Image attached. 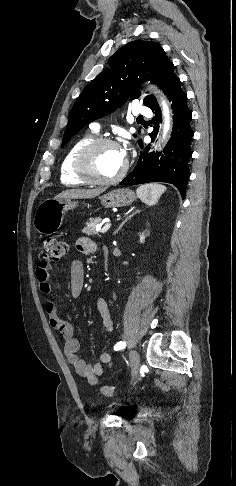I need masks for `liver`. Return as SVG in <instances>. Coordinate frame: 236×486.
I'll use <instances>...</instances> for the list:
<instances>
[{
  "instance_id": "1",
  "label": "liver",
  "mask_w": 236,
  "mask_h": 486,
  "mask_svg": "<svg viewBox=\"0 0 236 486\" xmlns=\"http://www.w3.org/2000/svg\"><path fill=\"white\" fill-rule=\"evenodd\" d=\"M103 189H69L61 192L55 198L57 199H89L101 194Z\"/></svg>"
}]
</instances>
